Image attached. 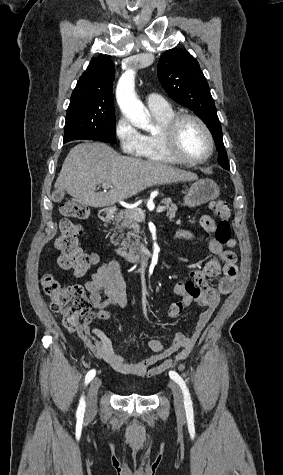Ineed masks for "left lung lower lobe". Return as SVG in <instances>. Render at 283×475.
<instances>
[{
    "label": "left lung lower lobe",
    "instance_id": "0a47b994",
    "mask_svg": "<svg viewBox=\"0 0 283 475\" xmlns=\"http://www.w3.org/2000/svg\"><path fill=\"white\" fill-rule=\"evenodd\" d=\"M213 138H214L215 144L217 146V151L219 153L218 163L224 169L229 170L230 167H229V163H228V159H227V153H226V150H225V147H224V144H223V137L213 135Z\"/></svg>",
    "mask_w": 283,
    "mask_h": 475
}]
</instances>
